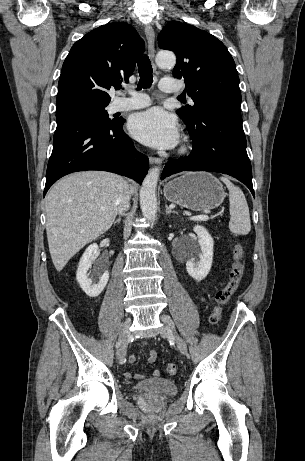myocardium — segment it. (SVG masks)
<instances>
[{
	"mask_svg": "<svg viewBox=\"0 0 305 461\" xmlns=\"http://www.w3.org/2000/svg\"><path fill=\"white\" fill-rule=\"evenodd\" d=\"M186 149H187V147H186L185 145H183V146L181 147V149H180V152H185Z\"/></svg>",
	"mask_w": 305,
	"mask_h": 461,
	"instance_id": "obj_1",
	"label": "myocardium"
}]
</instances>
